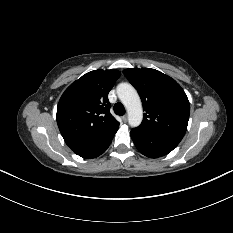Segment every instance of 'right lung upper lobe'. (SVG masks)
Returning <instances> with one entry per match:
<instances>
[{
    "label": "right lung upper lobe",
    "instance_id": "cb5924a9",
    "mask_svg": "<svg viewBox=\"0 0 233 233\" xmlns=\"http://www.w3.org/2000/svg\"><path fill=\"white\" fill-rule=\"evenodd\" d=\"M120 74L115 69L88 72L61 96L57 124L71 149L94 143L118 130L119 122L109 112L108 93Z\"/></svg>",
    "mask_w": 233,
    "mask_h": 233
}]
</instances>
